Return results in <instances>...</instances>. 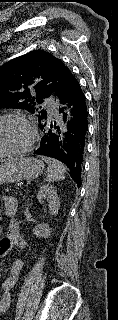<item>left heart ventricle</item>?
<instances>
[{
	"label": "left heart ventricle",
	"instance_id": "left-heart-ventricle-1",
	"mask_svg": "<svg viewBox=\"0 0 118 320\" xmlns=\"http://www.w3.org/2000/svg\"><path fill=\"white\" fill-rule=\"evenodd\" d=\"M30 132L25 123L19 120L0 122V147L5 150H14L27 144Z\"/></svg>",
	"mask_w": 118,
	"mask_h": 320
}]
</instances>
